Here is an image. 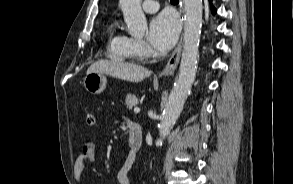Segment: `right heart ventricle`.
Returning <instances> with one entry per match:
<instances>
[{"instance_id":"right-heart-ventricle-1","label":"right heart ventricle","mask_w":293,"mask_h":184,"mask_svg":"<svg viewBox=\"0 0 293 184\" xmlns=\"http://www.w3.org/2000/svg\"><path fill=\"white\" fill-rule=\"evenodd\" d=\"M106 55L116 61H133L137 57L132 38L120 32L116 22L112 23L108 29Z\"/></svg>"}]
</instances>
